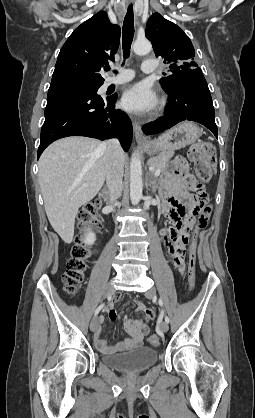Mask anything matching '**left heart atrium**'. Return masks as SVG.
Instances as JSON below:
<instances>
[{
  "instance_id": "1",
  "label": "left heart atrium",
  "mask_w": 255,
  "mask_h": 418,
  "mask_svg": "<svg viewBox=\"0 0 255 418\" xmlns=\"http://www.w3.org/2000/svg\"><path fill=\"white\" fill-rule=\"evenodd\" d=\"M121 103L130 112L145 113L156 107L158 100L148 84L137 83L123 93Z\"/></svg>"
}]
</instances>
